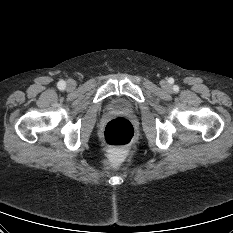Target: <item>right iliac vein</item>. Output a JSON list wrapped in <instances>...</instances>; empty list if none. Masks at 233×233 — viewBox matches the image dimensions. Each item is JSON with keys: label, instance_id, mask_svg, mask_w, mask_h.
Segmentation results:
<instances>
[{"label": "right iliac vein", "instance_id": "1", "mask_svg": "<svg viewBox=\"0 0 233 233\" xmlns=\"http://www.w3.org/2000/svg\"><path fill=\"white\" fill-rule=\"evenodd\" d=\"M67 87H68L69 89H73V88L75 87V82H74L73 80H69V81L67 82Z\"/></svg>", "mask_w": 233, "mask_h": 233}]
</instances>
